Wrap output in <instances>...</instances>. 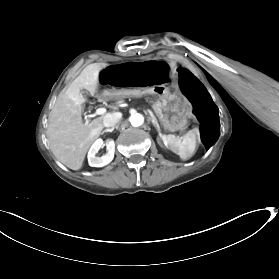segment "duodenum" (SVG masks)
I'll use <instances>...</instances> for the list:
<instances>
[{
  "instance_id": "duodenum-1",
  "label": "duodenum",
  "mask_w": 279,
  "mask_h": 279,
  "mask_svg": "<svg viewBox=\"0 0 279 279\" xmlns=\"http://www.w3.org/2000/svg\"><path fill=\"white\" fill-rule=\"evenodd\" d=\"M150 94V91L148 89H142L140 90L138 93L134 92L132 93L131 91H124L122 92H107L104 91L102 92L98 97L94 96L91 98L90 103L92 106L97 107L100 105L101 101H103L104 99H122L124 98H131L133 97L134 99H137L138 97L140 99H144L145 97H147Z\"/></svg>"
}]
</instances>
